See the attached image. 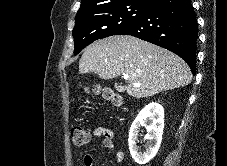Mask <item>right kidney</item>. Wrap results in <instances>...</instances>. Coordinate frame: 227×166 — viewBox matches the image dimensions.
<instances>
[{"label":"right kidney","instance_id":"1","mask_svg":"<svg viewBox=\"0 0 227 166\" xmlns=\"http://www.w3.org/2000/svg\"><path fill=\"white\" fill-rule=\"evenodd\" d=\"M141 127L147 129L145 139L148 140V144L144 153L139 152L137 146ZM163 129L164 109L160 104L151 102L140 111L129 131V150L136 163L146 164L155 157L162 141Z\"/></svg>","mask_w":227,"mask_h":166}]
</instances>
